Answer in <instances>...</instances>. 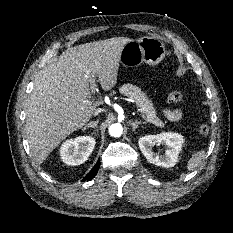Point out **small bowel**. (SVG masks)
Segmentation results:
<instances>
[{
  "instance_id": "c3829d8e",
  "label": "small bowel",
  "mask_w": 233,
  "mask_h": 233,
  "mask_svg": "<svg viewBox=\"0 0 233 233\" xmlns=\"http://www.w3.org/2000/svg\"><path fill=\"white\" fill-rule=\"evenodd\" d=\"M163 114L170 121H178L182 116V113L179 109L165 108L163 110Z\"/></svg>"
}]
</instances>
